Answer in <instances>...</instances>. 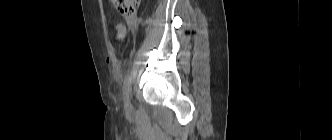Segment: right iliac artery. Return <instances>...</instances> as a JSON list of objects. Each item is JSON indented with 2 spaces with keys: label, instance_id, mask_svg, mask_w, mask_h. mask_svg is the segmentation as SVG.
<instances>
[{
  "label": "right iliac artery",
  "instance_id": "right-iliac-artery-1",
  "mask_svg": "<svg viewBox=\"0 0 332 140\" xmlns=\"http://www.w3.org/2000/svg\"><path fill=\"white\" fill-rule=\"evenodd\" d=\"M130 85H131V77L127 76L124 81V86H123V94H124V101L126 103V100L129 96L130 93Z\"/></svg>",
  "mask_w": 332,
  "mask_h": 140
}]
</instances>
